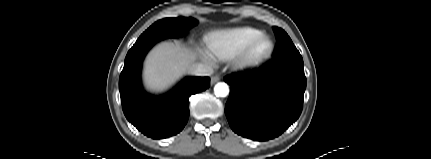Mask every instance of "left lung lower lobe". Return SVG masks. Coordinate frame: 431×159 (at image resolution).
I'll list each match as a JSON object with an SVG mask.
<instances>
[{
	"label": "left lung lower lobe",
	"mask_w": 431,
	"mask_h": 159,
	"mask_svg": "<svg viewBox=\"0 0 431 159\" xmlns=\"http://www.w3.org/2000/svg\"><path fill=\"white\" fill-rule=\"evenodd\" d=\"M303 60L282 59L226 76L225 114L231 129L254 141L281 135L300 116L306 89Z\"/></svg>",
	"instance_id": "0a47b994"
}]
</instances>
